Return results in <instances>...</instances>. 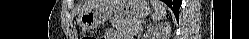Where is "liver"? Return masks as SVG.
Returning a JSON list of instances; mask_svg holds the SVG:
<instances>
[{"label":"liver","instance_id":"liver-1","mask_svg":"<svg viewBox=\"0 0 249 39\" xmlns=\"http://www.w3.org/2000/svg\"><path fill=\"white\" fill-rule=\"evenodd\" d=\"M118 3H120V0H87L82 6L81 11L90 9L98 5L108 6V5L118 4Z\"/></svg>","mask_w":249,"mask_h":39}]
</instances>
